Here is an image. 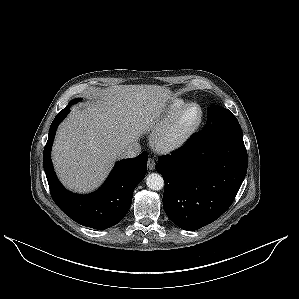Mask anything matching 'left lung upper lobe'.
<instances>
[{
	"label": "left lung upper lobe",
	"instance_id": "1",
	"mask_svg": "<svg viewBox=\"0 0 299 299\" xmlns=\"http://www.w3.org/2000/svg\"><path fill=\"white\" fill-rule=\"evenodd\" d=\"M230 112L228 109H225L220 106L211 105L210 108L207 110L208 115V125H210L215 119L219 118L220 116ZM206 126V127H207Z\"/></svg>",
	"mask_w": 299,
	"mask_h": 299
}]
</instances>
